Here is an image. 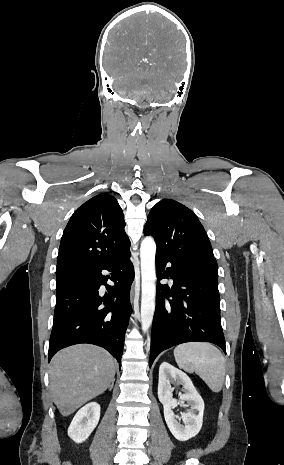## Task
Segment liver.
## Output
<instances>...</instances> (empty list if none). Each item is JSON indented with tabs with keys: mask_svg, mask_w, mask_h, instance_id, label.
<instances>
[{
	"mask_svg": "<svg viewBox=\"0 0 284 465\" xmlns=\"http://www.w3.org/2000/svg\"><path fill=\"white\" fill-rule=\"evenodd\" d=\"M115 361L105 349L76 345L59 351L51 361L53 401L63 417L108 389L115 375Z\"/></svg>",
	"mask_w": 284,
	"mask_h": 465,
	"instance_id": "6515ba94",
	"label": "liver"
}]
</instances>
